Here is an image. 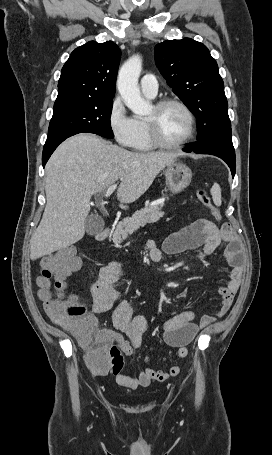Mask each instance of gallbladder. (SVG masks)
<instances>
[{
	"label": "gallbladder",
	"mask_w": 272,
	"mask_h": 455,
	"mask_svg": "<svg viewBox=\"0 0 272 455\" xmlns=\"http://www.w3.org/2000/svg\"><path fill=\"white\" fill-rule=\"evenodd\" d=\"M85 227L88 234L95 235L103 230L104 222L99 215L92 214L86 219Z\"/></svg>",
	"instance_id": "1"
}]
</instances>
